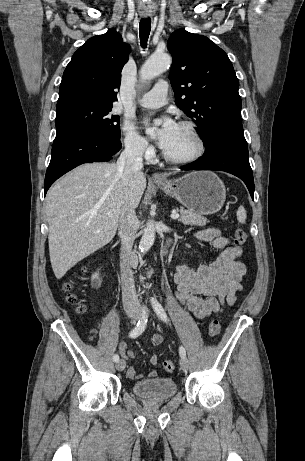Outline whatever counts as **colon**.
<instances>
[{"label": "colon", "instance_id": "obj_1", "mask_svg": "<svg viewBox=\"0 0 305 461\" xmlns=\"http://www.w3.org/2000/svg\"><path fill=\"white\" fill-rule=\"evenodd\" d=\"M247 234L242 228H237L234 232V243L236 246H242L246 243ZM88 270L87 267L82 269L83 273H86ZM66 291V302L75 307L76 311L83 313L85 311V306L78 300L76 294L73 292V287L70 283L64 285ZM221 326L217 318L213 319L208 327V333L210 336L215 337L220 333ZM164 370L166 372H173L175 369V364L171 360H166L163 363Z\"/></svg>", "mask_w": 305, "mask_h": 461}]
</instances>
